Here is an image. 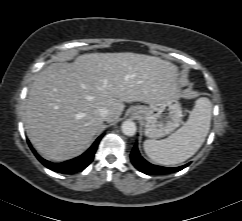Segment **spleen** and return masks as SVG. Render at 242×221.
Listing matches in <instances>:
<instances>
[{
	"label": "spleen",
	"mask_w": 242,
	"mask_h": 221,
	"mask_svg": "<svg viewBox=\"0 0 242 221\" xmlns=\"http://www.w3.org/2000/svg\"><path fill=\"white\" fill-rule=\"evenodd\" d=\"M211 101L196 100L188 120L175 133L163 140H145L146 155L161 165H176L192 157L202 146L210 129Z\"/></svg>",
	"instance_id": "3e777b00"
}]
</instances>
